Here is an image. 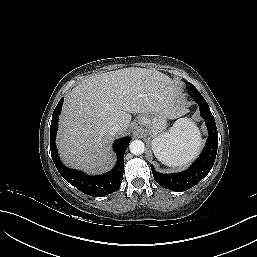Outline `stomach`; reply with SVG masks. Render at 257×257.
<instances>
[{"instance_id":"obj_1","label":"stomach","mask_w":257,"mask_h":257,"mask_svg":"<svg viewBox=\"0 0 257 257\" xmlns=\"http://www.w3.org/2000/svg\"><path fill=\"white\" fill-rule=\"evenodd\" d=\"M166 122L167 115L162 109L144 112L137 117L139 128L151 138L158 136L166 128Z\"/></svg>"}]
</instances>
